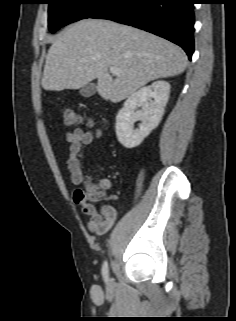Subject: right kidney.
I'll return each instance as SVG.
<instances>
[{
	"instance_id": "ca27d5eb",
	"label": "right kidney",
	"mask_w": 236,
	"mask_h": 321,
	"mask_svg": "<svg viewBox=\"0 0 236 321\" xmlns=\"http://www.w3.org/2000/svg\"><path fill=\"white\" fill-rule=\"evenodd\" d=\"M169 94L170 84L156 81L128 97L116 116L115 124L117 139L124 147L138 146L159 125ZM136 121H141L138 129H134Z\"/></svg>"
}]
</instances>
